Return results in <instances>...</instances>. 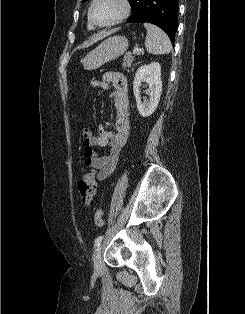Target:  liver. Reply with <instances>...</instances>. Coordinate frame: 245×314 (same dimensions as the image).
I'll use <instances>...</instances> for the list:
<instances>
[{
	"mask_svg": "<svg viewBox=\"0 0 245 314\" xmlns=\"http://www.w3.org/2000/svg\"><path fill=\"white\" fill-rule=\"evenodd\" d=\"M111 34V31L108 32H101L98 35H96V37H94L93 39L87 41L86 43L83 44V47H89L92 44L96 43L97 41H99L100 39L107 37L108 35Z\"/></svg>",
	"mask_w": 245,
	"mask_h": 314,
	"instance_id": "obj_1",
	"label": "liver"
}]
</instances>
